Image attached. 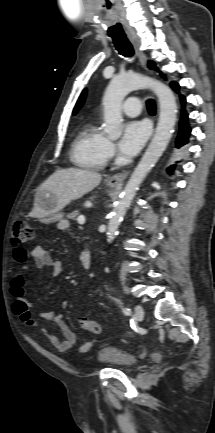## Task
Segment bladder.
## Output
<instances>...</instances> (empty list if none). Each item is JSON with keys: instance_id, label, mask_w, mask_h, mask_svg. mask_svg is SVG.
Segmentation results:
<instances>
[{"instance_id": "31cf9c89", "label": "bladder", "mask_w": 215, "mask_h": 433, "mask_svg": "<svg viewBox=\"0 0 215 433\" xmlns=\"http://www.w3.org/2000/svg\"><path fill=\"white\" fill-rule=\"evenodd\" d=\"M97 359L100 363L115 368L132 369L138 364V357L115 346H103L98 350Z\"/></svg>"}]
</instances>
